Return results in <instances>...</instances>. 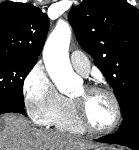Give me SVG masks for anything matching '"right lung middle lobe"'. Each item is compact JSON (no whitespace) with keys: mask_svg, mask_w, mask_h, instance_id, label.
Instances as JSON below:
<instances>
[{"mask_svg":"<svg viewBox=\"0 0 139 150\" xmlns=\"http://www.w3.org/2000/svg\"><path fill=\"white\" fill-rule=\"evenodd\" d=\"M37 61L0 54V100H10L24 106V79Z\"/></svg>","mask_w":139,"mask_h":150,"instance_id":"right-lung-middle-lobe-1","label":"right lung middle lobe"}]
</instances>
